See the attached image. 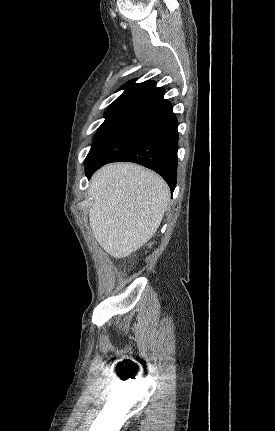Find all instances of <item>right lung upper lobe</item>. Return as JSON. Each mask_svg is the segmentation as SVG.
<instances>
[{"label": "right lung upper lobe", "instance_id": "cb5924a9", "mask_svg": "<svg viewBox=\"0 0 275 431\" xmlns=\"http://www.w3.org/2000/svg\"><path fill=\"white\" fill-rule=\"evenodd\" d=\"M121 89L125 91L108 107L106 113L138 110L163 97L165 91L156 87L154 81L148 80L135 83V80L127 82Z\"/></svg>", "mask_w": 275, "mask_h": 431}]
</instances>
